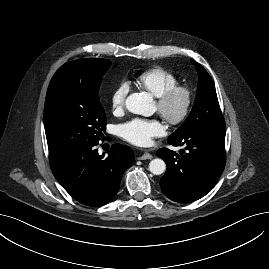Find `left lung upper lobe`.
Masks as SVG:
<instances>
[{
  "instance_id": "1",
  "label": "left lung upper lobe",
  "mask_w": 269,
  "mask_h": 269,
  "mask_svg": "<svg viewBox=\"0 0 269 269\" xmlns=\"http://www.w3.org/2000/svg\"><path fill=\"white\" fill-rule=\"evenodd\" d=\"M191 61L199 76L194 106L185 122L170 135L169 139L178 138L198 127L214 128L225 126L211 77L199 63L194 60Z\"/></svg>"
}]
</instances>
